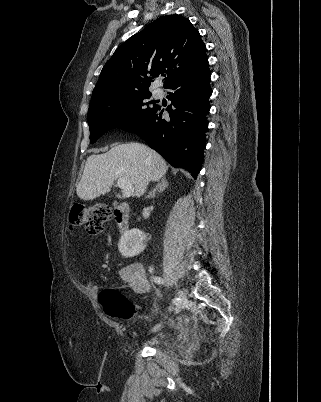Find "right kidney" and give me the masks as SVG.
Returning a JSON list of instances; mask_svg holds the SVG:
<instances>
[{
  "label": "right kidney",
  "instance_id": "ca27d5eb",
  "mask_svg": "<svg viewBox=\"0 0 321 402\" xmlns=\"http://www.w3.org/2000/svg\"><path fill=\"white\" fill-rule=\"evenodd\" d=\"M118 249L125 258L140 254L145 249V235L138 229L125 232L119 240Z\"/></svg>",
  "mask_w": 321,
  "mask_h": 402
}]
</instances>
